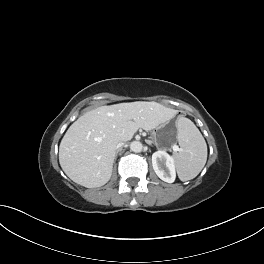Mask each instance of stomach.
<instances>
[{"label":"stomach","instance_id":"1","mask_svg":"<svg viewBox=\"0 0 264 264\" xmlns=\"http://www.w3.org/2000/svg\"><path fill=\"white\" fill-rule=\"evenodd\" d=\"M179 120H182V115L170 118V121H166L153 132V140L159 149H166L177 141V125L175 123Z\"/></svg>","mask_w":264,"mask_h":264}]
</instances>
